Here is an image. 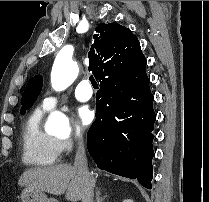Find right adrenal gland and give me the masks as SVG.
I'll return each instance as SVG.
<instances>
[{
	"mask_svg": "<svg viewBox=\"0 0 209 202\" xmlns=\"http://www.w3.org/2000/svg\"><path fill=\"white\" fill-rule=\"evenodd\" d=\"M107 197V195L101 197V192L100 190L96 191V202H103V200Z\"/></svg>",
	"mask_w": 209,
	"mask_h": 202,
	"instance_id": "right-adrenal-gland-1",
	"label": "right adrenal gland"
}]
</instances>
